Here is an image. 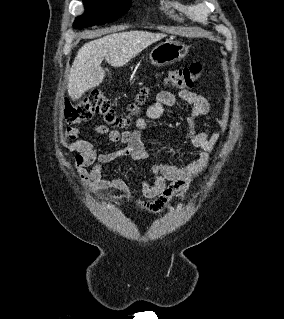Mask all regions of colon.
<instances>
[{
	"label": "colon",
	"instance_id": "5ec220e1",
	"mask_svg": "<svg viewBox=\"0 0 284 319\" xmlns=\"http://www.w3.org/2000/svg\"><path fill=\"white\" fill-rule=\"evenodd\" d=\"M201 71L202 65L198 62L187 67L173 69L167 74L166 82L178 89H191L199 80ZM148 97V89L143 88L138 93L135 102L129 107L131 114L120 116L110 99L103 92L95 90L77 105L67 107L64 111V120L68 125H77L99 115L112 127L127 129L132 124V114L140 109Z\"/></svg>",
	"mask_w": 284,
	"mask_h": 319
}]
</instances>
